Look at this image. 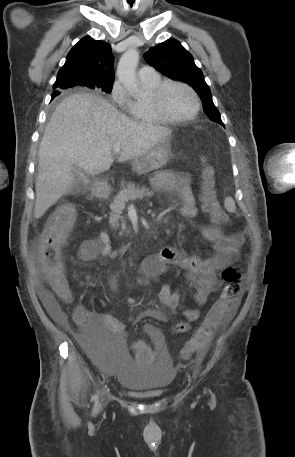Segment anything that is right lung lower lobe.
Returning <instances> with one entry per match:
<instances>
[{"mask_svg":"<svg viewBox=\"0 0 295 457\" xmlns=\"http://www.w3.org/2000/svg\"><path fill=\"white\" fill-rule=\"evenodd\" d=\"M57 94H59V92H53L51 99H54L57 96Z\"/></svg>","mask_w":295,"mask_h":457,"instance_id":"right-lung-lower-lobe-1","label":"right lung lower lobe"}]
</instances>
